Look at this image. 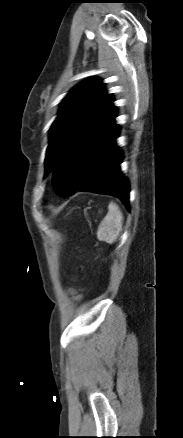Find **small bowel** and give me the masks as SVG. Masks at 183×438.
<instances>
[{
    "mask_svg": "<svg viewBox=\"0 0 183 438\" xmlns=\"http://www.w3.org/2000/svg\"><path fill=\"white\" fill-rule=\"evenodd\" d=\"M69 294L74 298V300L79 301L82 298V295L78 293L75 289H70Z\"/></svg>",
    "mask_w": 183,
    "mask_h": 438,
    "instance_id": "c3829d8e",
    "label": "small bowel"
}]
</instances>
